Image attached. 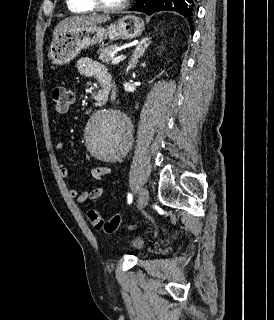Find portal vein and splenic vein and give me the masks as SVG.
<instances>
[{"label":"portal vein and splenic vein","instance_id":"1","mask_svg":"<svg viewBox=\"0 0 274 320\" xmlns=\"http://www.w3.org/2000/svg\"><path fill=\"white\" fill-rule=\"evenodd\" d=\"M126 56H117V58H112V64H119L121 60H125Z\"/></svg>","mask_w":274,"mask_h":320}]
</instances>
